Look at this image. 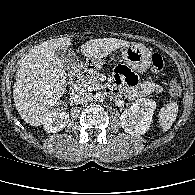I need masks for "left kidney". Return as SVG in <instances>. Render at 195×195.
<instances>
[{
	"instance_id": "1",
	"label": "left kidney",
	"mask_w": 195,
	"mask_h": 195,
	"mask_svg": "<svg viewBox=\"0 0 195 195\" xmlns=\"http://www.w3.org/2000/svg\"><path fill=\"white\" fill-rule=\"evenodd\" d=\"M156 102L148 98H140L132 103L120 116V124L125 132L132 136L143 135L149 129Z\"/></svg>"
}]
</instances>
